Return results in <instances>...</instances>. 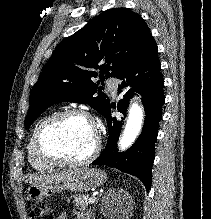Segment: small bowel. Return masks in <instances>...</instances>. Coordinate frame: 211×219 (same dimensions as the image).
Wrapping results in <instances>:
<instances>
[{"label":"small bowel","mask_w":211,"mask_h":219,"mask_svg":"<svg viewBox=\"0 0 211 219\" xmlns=\"http://www.w3.org/2000/svg\"><path fill=\"white\" fill-rule=\"evenodd\" d=\"M75 219H91L90 214L87 211H84L80 208H76L74 210ZM58 219H67L65 214H62L58 217Z\"/></svg>","instance_id":"1"}]
</instances>
